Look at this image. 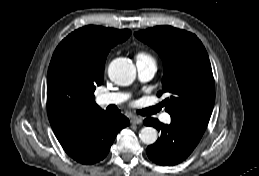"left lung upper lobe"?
I'll return each mask as SVG.
<instances>
[{
    "label": "left lung upper lobe",
    "instance_id": "obj_1",
    "mask_svg": "<svg viewBox=\"0 0 259 176\" xmlns=\"http://www.w3.org/2000/svg\"><path fill=\"white\" fill-rule=\"evenodd\" d=\"M164 59L163 101L172 119L206 129L215 102V85L208 54L196 35L171 26L134 34Z\"/></svg>",
    "mask_w": 259,
    "mask_h": 176
}]
</instances>
